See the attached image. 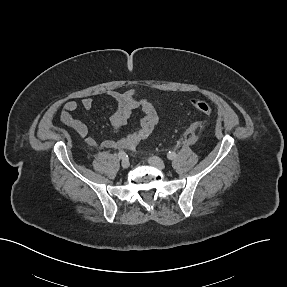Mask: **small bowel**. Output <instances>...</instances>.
I'll list each match as a JSON object with an SVG mask.
<instances>
[{"label":"small bowel","mask_w":287,"mask_h":287,"mask_svg":"<svg viewBox=\"0 0 287 287\" xmlns=\"http://www.w3.org/2000/svg\"><path fill=\"white\" fill-rule=\"evenodd\" d=\"M107 94L117 104L115 112L110 117V131L112 133L118 132L128 122L132 113L135 110H140L143 114V119L135 131L117 139H105L99 142L95 137L89 135L86 124L73 116V113L79 108V104L74 100H69L65 103L60 113V120L66 126L74 129L89 147L99 145L106 149H132L150 136L158 124L159 113L156 105L152 99L140 97L133 89L124 92L111 90ZM81 106L85 110H90L93 106V99L91 97L83 98Z\"/></svg>","instance_id":"c3829d8e"}]
</instances>
